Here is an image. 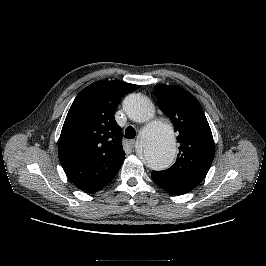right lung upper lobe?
Returning a JSON list of instances; mask_svg holds the SVG:
<instances>
[{"label":"right lung upper lobe","instance_id":"obj_1","mask_svg":"<svg viewBox=\"0 0 266 266\" xmlns=\"http://www.w3.org/2000/svg\"><path fill=\"white\" fill-rule=\"evenodd\" d=\"M136 89L135 84L102 80L87 86L73 101L58 156L67 177L80 190L95 193L118 173L125 152L114 113L122 97Z\"/></svg>","mask_w":266,"mask_h":266}]
</instances>
